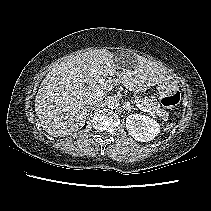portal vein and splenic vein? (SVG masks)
Instances as JSON below:
<instances>
[{"instance_id": "portal-vein-and-splenic-vein-1", "label": "portal vein and splenic vein", "mask_w": 211, "mask_h": 211, "mask_svg": "<svg viewBox=\"0 0 211 211\" xmlns=\"http://www.w3.org/2000/svg\"><path fill=\"white\" fill-rule=\"evenodd\" d=\"M104 79H99V83H104ZM136 106L142 110V111H145V112H149L151 114H154V112L150 109V108H147L145 106H143L142 104H140L139 102H136Z\"/></svg>"}]
</instances>
